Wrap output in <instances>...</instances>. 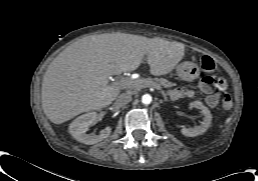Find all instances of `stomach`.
Listing matches in <instances>:
<instances>
[{"mask_svg":"<svg viewBox=\"0 0 258 181\" xmlns=\"http://www.w3.org/2000/svg\"><path fill=\"white\" fill-rule=\"evenodd\" d=\"M176 71L179 77L185 80H191L198 76V66L193 62H183L176 67Z\"/></svg>","mask_w":258,"mask_h":181,"instance_id":"1","label":"stomach"}]
</instances>
